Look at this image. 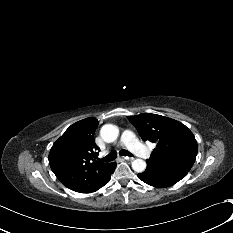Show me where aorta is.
Listing matches in <instances>:
<instances>
[{"instance_id": "1", "label": "aorta", "mask_w": 233, "mask_h": 233, "mask_svg": "<svg viewBox=\"0 0 233 233\" xmlns=\"http://www.w3.org/2000/svg\"><path fill=\"white\" fill-rule=\"evenodd\" d=\"M100 134L105 142L111 143L117 139L119 129L115 125L106 124L101 128ZM132 169L138 173H141L146 169V162L142 159H136L132 162Z\"/></svg>"}]
</instances>
